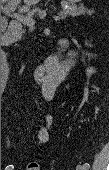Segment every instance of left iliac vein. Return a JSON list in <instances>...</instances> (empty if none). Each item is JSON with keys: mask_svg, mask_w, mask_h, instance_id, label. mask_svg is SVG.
Wrapping results in <instances>:
<instances>
[{"mask_svg": "<svg viewBox=\"0 0 109 170\" xmlns=\"http://www.w3.org/2000/svg\"><path fill=\"white\" fill-rule=\"evenodd\" d=\"M76 170H83V166L78 165V166L76 167Z\"/></svg>", "mask_w": 109, "mask_h": 170, "instance_id": "1", "label": "left iliac vein"}]
</instances>
